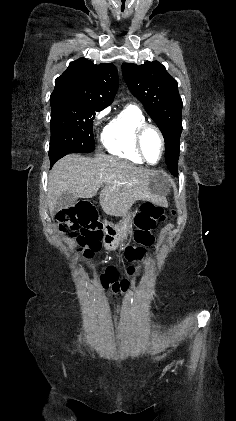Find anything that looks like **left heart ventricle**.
<instances>
[{"instance_id":"left-heart-ventricle-1","label":"left heart ventricle","mask_w":236,"mask_h":421,"mask_svg":"<svg viewBox=\"0 0 236 421\" xmlns=\"http://www.w3.org/2000/svg\"><path fill=\"white\" fill-rule=\"evenodd\" d=\"M143 147L150 163H158L162 155V144L159 136L152 130L145 133Z\"/></svg>"}]
</instances>
